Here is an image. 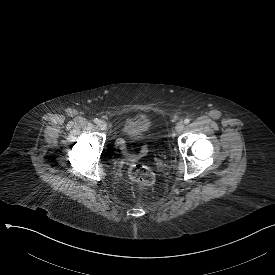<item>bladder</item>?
I'll list each match as a JSON object with an SVG mask.
<instances>
[{
	"label": "bladder",
	"instance_id": "bladder-1",
	"mask_svg": "<svg viewBox=\"0 0 275 275\" xmlns=\"http://www.w3.org/2000/svg\"><path fill=\"white\" fill-rule=\"evenodd\" d=\"M150 133V120L144 116H134L126 120L121 129L122 138L131 141H138Z\"/></svg>",
	"mask_w": 275,
	"mask_h": 275
}]
</instances>
